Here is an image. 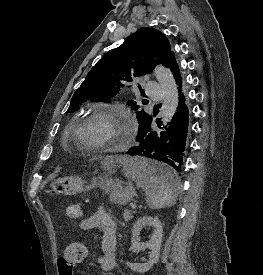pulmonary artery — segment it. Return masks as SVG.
I'll return each instance as SVG.
<instances>
[{"instance_id": "pulmonary-artery-1", "label": "pulmonary artery", "mask_w": 263, "mask_h": 275, "mask_svg": "<svg viewBox=\"0 0 263 275\" xmlns=\"http://www.w3.org/2000/svg\"><path fill=\"white\" fill-rule=\"evenodd\" d=\"M146 92L153 99H160L162 96L161 88L156 82H148L146 84Z\"/></svg>"}]
</instances>
